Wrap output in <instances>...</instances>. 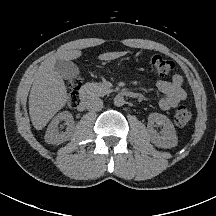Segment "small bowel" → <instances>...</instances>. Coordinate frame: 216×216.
Listing matches in <instances>:
<instances>
[{
    "label": "small bowel",
    "mask_w": 216,
    "mask_h": 216,
    "mask_svg": "<svg viewBox=\"0 0 216 216\" xmlns=\"http://www.w3.org/2000/svg\"><path fill=\"white\" fill-rule=\"evenodd\" d=\"M156 86L163 94V97L159 100V107L162 110L174 108L187 97L183 89V78L180 75H174L170 81L159 80Z\"/></svg>",
    "instance_id": "c3829d8e"
}]
</instances>
